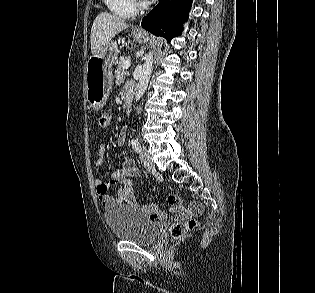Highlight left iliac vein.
<instances>
[{
	"label": "left iliac vein",
	"mask_w": 315,
	"mask_h": 293,
	"mask_svg": "<svg viewBox=\"0 0 315 293\" xmlns=\"http://www.w3.org/2000/svg\"><path fill=\"white\" fill-rule=\"evenodd\" d=\"M139 157H140L141 163L148 171L155 170V164L151 160L146 148H142Z\"/></svg>",
	"instance_id": "left-iliac-vein-1"
}]
</instances>
